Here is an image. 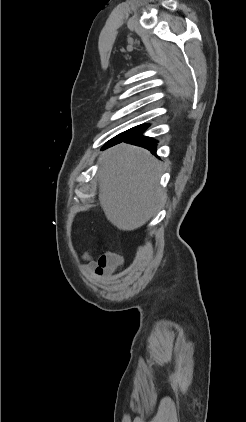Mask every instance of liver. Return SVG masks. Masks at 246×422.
<instances>
[{
    "mask_svg": "<svg viewBox=\"0 0 246 422\" xmlns=\"http://www.w3.org/2000/svg\"><path fill=\"white\" fill-rule=\"evenodd\" d=\"M99 162V203L107 220L123 231L142 227L165 197L158 184L162 164L147 150L123 143Z\"/></svg>",
    "mask_w": 246,
    "mask_h": 422,
    "instance_id": "liver-1",
    "label": "liver"
}]
</instances>
